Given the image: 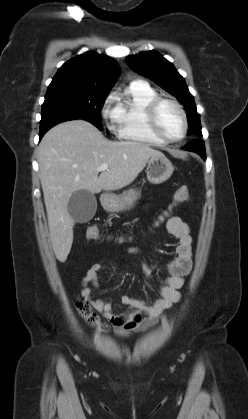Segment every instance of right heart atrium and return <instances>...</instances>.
<instances>
[{"mask_svg": "<svg viewBox=\"0 0 248 419\" xmlns=\"http://www.w3.org/2000/svg\"><path fill=\"white\" fill-rule=\"evenodd\" d=\"M116 96L114 94H109L105 99L102 108L101 115L103 119L107 122L110 129H114L116 126L117 120V109L115 105Z\"/></svg>", "mask_w": 248, "mask_h": 419, "instance_id": "obj_1", "label": "right heart atrium"}]
</instances>
